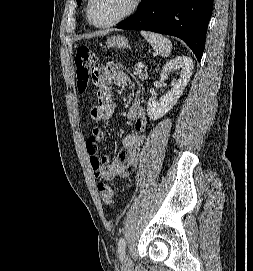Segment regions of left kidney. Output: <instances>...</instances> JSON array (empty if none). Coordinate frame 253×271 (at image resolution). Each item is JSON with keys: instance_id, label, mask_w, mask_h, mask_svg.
I'll return each mask as SVG.
<instances>
[{"instance_id": "obj_1", "label": "left kidney", "mask_w": 253, "mask_h": 271, "mask_svg": "<svg viewBox=\"0 0 253 271\" xmlns=\"http://www.w3.org/2000/svg\"><path fill=\"white\" fill-rule=\"evenodd\" d=\"M193 68L192 59L186 56L175 57L164 65L160 74L162 80H167L172 70H180V77L172 82V89L161 98L150 97L147 103L150 119L157 120L163 117L177 103L192 76Z\"/></svg>"}]
</instances>
